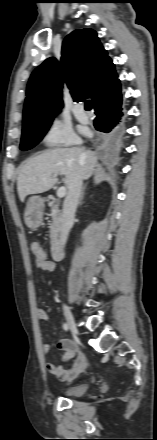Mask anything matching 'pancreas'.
Returning <instances> with one entry per match:
<instances>
[{
	"label": "pancreas",
	"instance_id": "obj_1",
	"mask_svg": "<svg viewBox=\"0 0 157 440\" xmlns=\"http://www.w3.org/2000/svg\"><path fill=\"white\" fill-rule=\"evenodd\" d=\"M52 218V223L50 224V239L51 244L54 245L58 241L59 233L61 230V213L56 207H52L50 214Z\"/></svg>",
	"mask_w": 157,
	"mask_h": 440
}]
</instances>
